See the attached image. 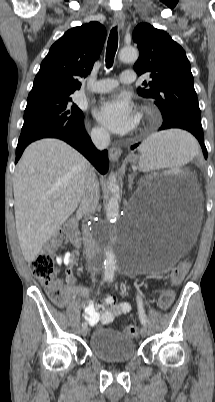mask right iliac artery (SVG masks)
Here are the masks:
<instances>
[{"mask_svg":"<svg viewBox=\"0 0 215 402\" xmlns=\"http://www.w3.org/2000/svg\"><path fill=\"white\" fill-rule=\"evenodd\" d=\"M104 281H105V280H104ZM104 281H103V282H104ZM103 282H102L101 284H103ZM82 327H87V323H86V322H83V323H82Z\"/></svg>","mask_w":215,"mask_h":402,"instance_id":"82829eb1","label":"right iliac artery"}]
</instances>
